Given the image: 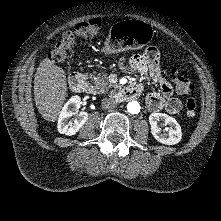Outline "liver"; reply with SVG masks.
Returning <instances> with one entry per match:
<instances>
[{"label":"liver","mask_w":221,"mask_h":221,"mask_svg":"<svg viewBox=\"0 0 221 221\" xmlns=\"http://www.w3.org/2000/svg\"><path fill=\"white\" fill-rule=\"evenodd\" d=\"M66 73L53 61L45 58L34 76V101L41 116L55 122L68 95Z\"/></svg>","instance_id":"liver-1"}]
</instances>
